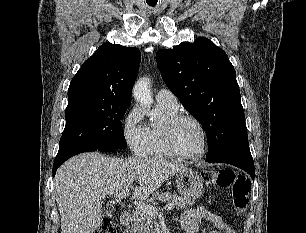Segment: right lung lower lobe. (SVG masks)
<instances>
[{
  "mask_svg": "<svg viewBox=\"0 0 306 233\" xmlns=\"http://www.w3.org/2000/svg\"><path fill=\"white\" fill-rule=\"evenodd\" d=\"M115 148H101V149H96V148H89V149H81V150H78V151H75V152H72L64 157H61V158H57L55 159V162L53 164V176L55 175L56 171H57V168L62 164L64 163L67 159H69L70 157L76 155V154H79V153H82V152H88V151H112L114 150Z\"/></svg>",
  "mask_w": 306,
  "mask_h": 233,
  "instance_id": "98d812e1",
  "label": "right lung lower lobe"
}]
</instances>
